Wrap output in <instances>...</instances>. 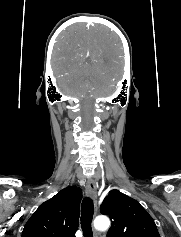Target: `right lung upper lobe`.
I'll list each match as a JSON object with an SVG mask.
<instances>
[{
	"mask_svg": "<svg viewBox=\"0 0 181 237\" xmlns=\"http://www.w3.org/2000/svg\"><path fill=\"white\" fill-rule=\"evenodd\" d=\"M82 191L68 186L42 203L24 226L21 237H75Z\"/></svg>",
	"mask_w": 181,
	"mask_h": 237,
	"instance_id": "right-lung-upper-lobe-1",
	"label": "right lung upper lobe"
}]
</instances>
